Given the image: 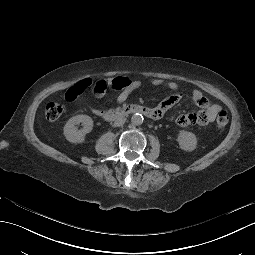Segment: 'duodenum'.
<instances>
[{
	"label": "duodenum",
	"instance_id": "1",
	"mask_svg": "<svg viewBox=\"0 0 255 255\" xmlns=\"http://www.w3.org/2000/svg\"><path fill=\"white\" fill-rule=\"evenodd\" d=\"M94 113L105 120H117L135 113L145 115L151 119H157L159 117L154 108L142 105H126L108 110H95Z\"/></svg>",
	"mask_w": 255,
	"mask_h": 255
}]
</instances>
